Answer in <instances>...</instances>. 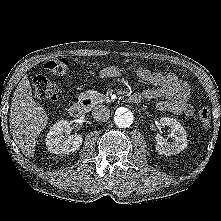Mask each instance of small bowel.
Here are the masks:
<instances>
[{
	"label": "small bowel",
	"instance_id": "1",
	"mask_svg": "<svg viewBox=\"0 0 221 221\" xmlns=\"http://www.w3.org/2000/svg\"><path fill=\"white\" fill-rule=\"evenodd\" d=\"M121 75L120 69L115 66L103 68L98 76L100 79H109ZM137 75L144 81L154 85V88L137 93L147 100H160L157 108L161 111H169L177 115L191 116L193 107L188 102L190 89L188 84L177 77L171 71L153 72L140 68Z\"/></svg>",
	"mask_w": 221,
	"mask_h": 221
}]
</instances>
